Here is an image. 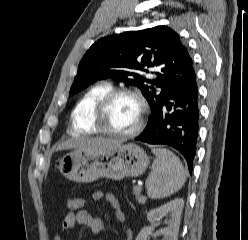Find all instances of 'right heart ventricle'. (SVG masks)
Masks as SVG:
<instances>
[{
    "mask_svg": "<svg viewBox=\"0 0 248 240\" xmlns=\"http://www.w3.org/2000/svg\"><path fill=\"white\" fill-rule=\"evenodd\" d=\"M110 89H112L111 83L99 82L83 93L77 101L70 117V131L73 134L83 135L97 132L92 123L93 109L98 100Z\"/></svg>",
    "mask_w": 248,
    "mask_h": 240,
    "instance_id": "1",
    "label": "right heart ventricle"
}]
</instances>
